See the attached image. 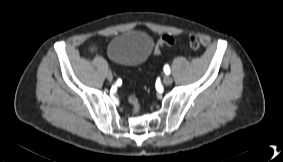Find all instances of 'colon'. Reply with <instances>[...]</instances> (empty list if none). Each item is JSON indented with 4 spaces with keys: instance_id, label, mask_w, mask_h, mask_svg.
<instances>
[{
    "instance_id": "5ec220e1",
    "label": "colon",
    "mask_w": 283,
    "mask_h": 162,
    "mask_svg": "<svg viewBox=\"0 0 283 162\" xmlns=\"http://www.w3.org/2000/svg\"><path fill=\"white\" fill-rule=\"evenodd\" d=\"M175 43V39L172 35L165 34L159 38V40L156 43L155 51L157 54H161V50L163 48H168L173 46ZM188 45L192 49H198L199 48V41L195 36H190L188 39ZM127 101L131 105L133 112L136 114L140 111L141 106L140 103L135 95H129L127 96Z\"/></svg>"
}]
</instances>
